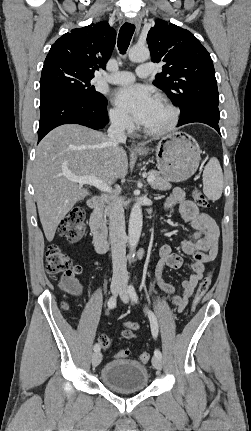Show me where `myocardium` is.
<instances>
[{
	"mask_svg": "<svg viewBox=\"0 0 251 431\" xmlns=\"http://www.w3.org/2000/svg\"><path fill=\"white\" fill-rule=\"evenodd\" d=\"M159 102L168 108L170 111V118L163 127L157 129H150L143 126L142 131L148 136L159 137L170 133L176 128L180 119V110L173 102L165 97H160Z\"/></svg>",
	"mask_w": 251,
	"mask_h": 431,
	"instance_id": "1",
	"label": "myocardium"
}]
</instances>
